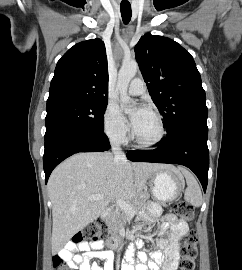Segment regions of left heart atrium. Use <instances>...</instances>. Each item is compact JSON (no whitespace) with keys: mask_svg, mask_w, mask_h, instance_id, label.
Returning a JSON list of instances; mask_svg holds the SVG:
<instances>
[{"mask_svg":"<svg viewBox=\"0 0 242 270\" xmlns=\"http://www.w3.org/2000/svg\"><path fill=\"white\" fill-rule=\"evenodd\" d=\"M148 112H149L148 109L144 106H140L137 109V111L131 117V125L133 129L138 125V123L143 118V116L147 114Z\"/></svg>","mask_w":242,"mask_h":270,"instance_id":"left-heart-atrium-1","label":"left heart atrium"}]
</instances>
